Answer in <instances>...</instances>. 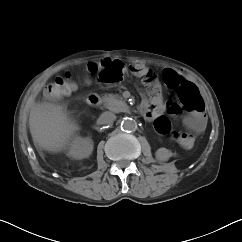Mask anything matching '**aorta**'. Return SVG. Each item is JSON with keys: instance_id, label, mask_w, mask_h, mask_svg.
<instances>
[{"instance_id": "1", "label": "aorta", "mask_w": 242, "mask_h": 242, "mask_svg": "<svg viewBox=\"0 0 242 242\" xmlns=\"http://www.w3.org/2000/svg\"><path fill=\"white\" fill-rule=\"evenodd\" d=\"M137 128L136 122L131 118H124L121 122V129L126 132L135 131Z\"/></svg>"}]
</instances>
